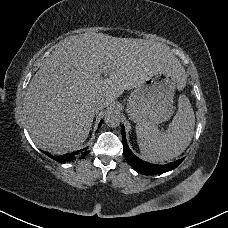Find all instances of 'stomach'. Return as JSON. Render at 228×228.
<instances>
[{"mask_svg": "<svg viewBox=\"0 0 228 228\" xmlns=\"http://www.w3.org/2000/svg\"><path fill=\"white\" fill-rule=\"evenodd\" d=\"M177 82L171 73L155 74L129 95L127 113L136 123L158 125L172 116Z\"/></svg>", "mask_w": 228, "mask_h": 228, "instance_id": "obj_1", "label": "stomach"}]
</instances>
